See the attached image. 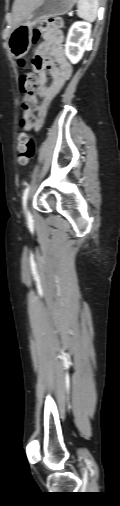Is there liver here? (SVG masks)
Here are the masks:
<instances>
[{
	"instance_id": "6515ba94",
	"label": "liver",
	"mask_w": 120,
	"mask_h": 506,
	"mask_svg": "<svg viewBox=\"0 0 120 506\" xmlns=\"http://www.w3.org/2000/svg\"><path fill=\"white\" fill-rule=\"evenodd\" d=\"M42 0H15L10 20L11 31L20 25Z\"/></svg>"
}]
</instances>
